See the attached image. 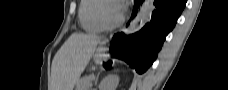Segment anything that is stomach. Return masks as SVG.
<instances>
[{"instance_id":"obj_1","label":"stomach","mask_w":228,"mask_h":90,"mask_svg":"<svg viewBox=\"0 0 228 90\" xmlns=\"http://www.w3.org/2000/svg\"><path fill=\"white\" fill-rule=\"evenodd\" d=\"M103 50H104V47L101 46V48H100V50H99V53H102ZM94 59H95V62H96V63H102V57H100V56H95Z\"/></svg>"}]
</instances>
